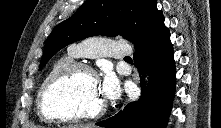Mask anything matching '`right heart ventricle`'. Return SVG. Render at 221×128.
Masks as SVG:
<instances>
[{
  "instance_id": "1",
  "label": "right heart ventricle",
  "mask_w": 221,
  "mask_h": 128,
  "mask_svg": "<svg viewBox=\"0 0 221 128\" xmlns=\"http://www.w3.org/2000/svg\"><path fill=\"white\" fill-rule=\"evenodd\" d=\"M75 58L76 56L70 50L66 54L59 56L49 67V70L47 71L39 87V90L45 81H47L50 77H52L54 74H56L58 71H60L62 68H64L68 64L74 62Z\"/></svg>"
}]
</instances>
